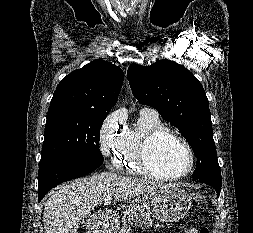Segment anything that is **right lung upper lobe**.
Returning a JSON list of instances; mask_svg holds the SVG:
<instances>
[{
  "label": "right lung upper lobe",
  "instance_id": "right-lung-upper-lobe-1",
  "mask_svg": "<svg viewBox=\"0 0 253 233\" xmlns=\"http://www.w3.org/2000/svg\"><path fill=\"white\" fill-rule=\"evenodd\" d=\"M124 74L110 62L98 59L76 69L58 84L50 107H81L108 112L116 104Z\"/></svg>",
  "mask_w": 253,
  "mask_h": 233
}]
</instances>
